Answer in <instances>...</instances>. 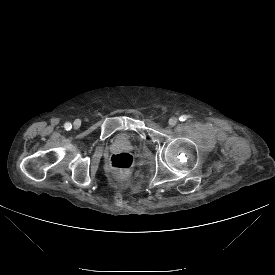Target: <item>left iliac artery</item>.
<instances>
[{"mask_svg": "<svg viewBox=\"0 0 275 275\" xmlns=\"http://www.w3.org/2000/svg\"><path fill=\"white\" fill-rule=\"evenodd\" d=\"M186 119H187V116H186V115H182V116L179 118L180 121H185Z\"/></svg>", "mask_w": 275, "mask_h": 275, "instance_id": "left-iliac-artery-1", "label": "left iliac artery"}]
</instances>
